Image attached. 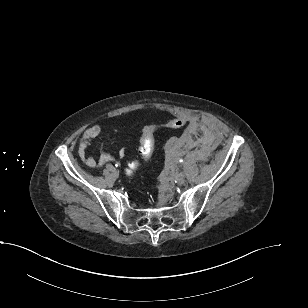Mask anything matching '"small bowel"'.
Segmentation results:
<instances>
[{
	"mask_svg": "<svg viewBox=\"0 0 308 308\" xmlns=\"http://www.w3.org/2000/svg\"><path fill=\"white\" fill-rule=\"evenodd\" d=\"M101 133V127L99 125H93L87 128L82 134L79 147L78 156L80 160L91 169L101 168L105 163L113 161V157L107 153H101L98 160L88 154V147L93 139L98 137ZM124 152L120 151V156H123Z\"/></svg>",
	"mask_w": 308,
	"mask_h": 308,
	"instance_id": "obj_1",
	"label": "small bowel"
}]
</instances>
